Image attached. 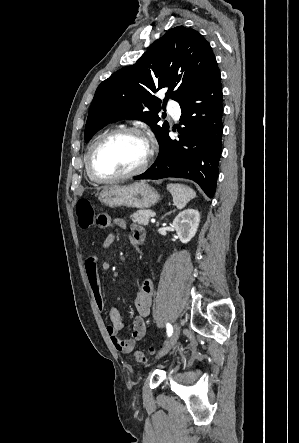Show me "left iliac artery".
Segmentation results:
<instances>
[{
    "instance_id": "1",
    "label": "left iliac artery",
    "mask_w": 299,
    "mask_h": 443,
    "mask_svg": "<svg viewBox=\"0 0 299 443\" xmlns=\"http://www.w3.org/2000/svg\"><path fill=\"white\" fill-rule=\"evenodd\" d=\"M166 329H167V334H168V336L170 337V336L172 335V333H173V327H172V325H171L170 323H167V324H166Z\"/></svg>"
}]
</instances>
